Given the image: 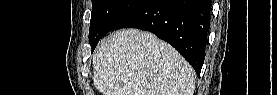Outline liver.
Masks as SVG:
<instances>
[{
  "label": "liver",
  "mask_w": 277,
  "mask_h": 95,
  "mask_svg": "<svg viewBox=\"0 0 277 95\" xmlns=\"http://www.w3.org/2000/svg\"><path fill=\"white\" fill-rule=\"evenodd\" d=\"M93 84L104 95H193L195 72L154 34L122 29L93 55Z\"/></svg>",
  "instance_id": "1"
}]
</instances>
